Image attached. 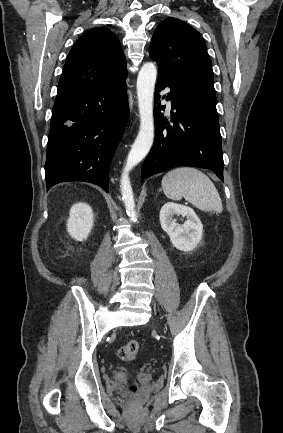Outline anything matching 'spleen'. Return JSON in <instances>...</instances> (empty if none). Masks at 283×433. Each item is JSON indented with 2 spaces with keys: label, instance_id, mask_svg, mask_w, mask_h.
Masks as SVG:
<instances>
[{
  "label": "spleen",
  "instance_id": "spleen-1",
  "mask_svg": "<svg viewBox=\"0 0 283 433\" xmlns=\"http://www.w3.org/2000/svg\"><path fill=\"white\" fill-rule=\"evenodd\" d=\"M161 182L164 194L172 200H181L184 196L185 200L192 202L200 210H216V212L223 210L216 186L207 174L197 168H190V166L174 168L163 176Z\"/></svg>",
  "mask_w": 283,
  "mask_h": 433
}]
</instances>
